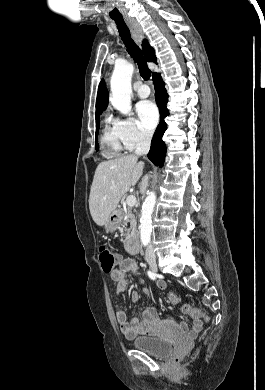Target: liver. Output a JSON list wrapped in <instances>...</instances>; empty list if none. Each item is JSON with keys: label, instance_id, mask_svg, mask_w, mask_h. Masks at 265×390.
Wrapping results in <instances>:
<instances>
[{"label": "liver", "instance_id": "6515ba94", "mask_svg": "<svg viewBox=\"0 0 265 390\" xmlns=\"http://www.w3.org/2000/svg\"><path fill=\"white\" fill-rule=\"evenodd\" d=\"M143 168L144 162H138L137 155L122 156L97 166L90 190L89 209L98 226L106 224L120 199L142 176Z\"/></svg>", "mask_w": 265, "mask_h": 390}]
</instances>
